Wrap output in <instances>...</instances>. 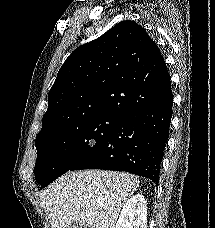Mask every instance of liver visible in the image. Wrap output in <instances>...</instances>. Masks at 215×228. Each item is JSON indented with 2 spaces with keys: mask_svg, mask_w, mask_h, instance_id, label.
Segmentation results:
<instances>
[{
  "mask_svg": "<svg viewBox=\"0 0 215 228\" xmlns=\"http://www.w3.org/2000/svg\"><path fill=\"white\" fill-rule=\"evenodd\" d=\"M126 172H67L42 190L40 202L51 228H115L120 208L137 188Z\"/></svg>",
  "mask_w": 215,
  "mask_h": 228,
  "instance_id": "1",
  "label": "liver"
}]
</instances>
